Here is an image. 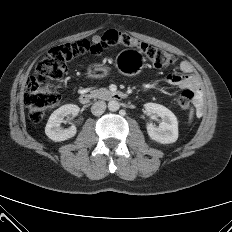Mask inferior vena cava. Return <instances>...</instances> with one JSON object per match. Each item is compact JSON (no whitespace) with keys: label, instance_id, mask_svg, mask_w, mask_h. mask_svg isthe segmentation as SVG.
<instances>
[{"label":"inferior vena cava","instance_id":"1","mask_svg":"<svg viewBox=\"0 0 232 232\" xmlns=\"http://www.w3.org/2000/svg\"><path fill=\"white\" fill-rule=\"evenodd\" d=\"M106 109V103L104 101H96L91 107V112L95 116H100Z\"/></svg>","mask_w":232,"mask_h":232}]
</instances>
